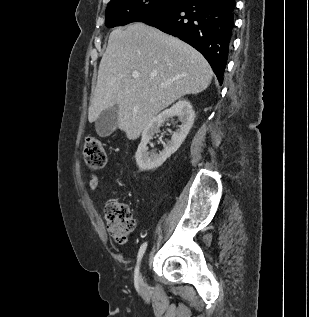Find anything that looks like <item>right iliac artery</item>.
I'll return each mask as SVG.
<instances>
[{"label":"right iliac artery","instance_id":"1","mask_svg":"<svg viewBox=\"0 0 309 317\" xmlns=\"http://www.w3.org/2000/svg\"><path fill=\"white\" fill-rule=\"evenodd\" d=\"M147 248V242L143 243L139 249V252H138V256H137V265H136V268H135V281L136 283L138 284V282H140V275H139V265H140V262H141V259L145 253V250Z\"/></svg>","mask_w":309,"mask_h":317}]
</instances>
